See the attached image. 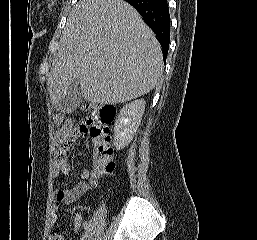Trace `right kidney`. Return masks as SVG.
Here are the masks:
<instances>
[{"mask_svg": "<svg viewBox=\"0 0 257 240\" xmlns=\"http://www.w3.org/2000/svg\"><path fill=\"white\" fill-rule=\"evenodd\" d=\"M145 100H135L124 106L114 125V146L117 150L125 148L133 139L145 111Z\"/></svg>", "mask_w": 257, "mask_h": 240, "instance_id": "ca27d5eb", "label": "right kidney"}]
</instances>
